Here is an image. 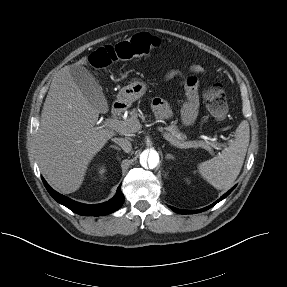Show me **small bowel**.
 <instances>
[{"label": "small bowel", "mask_w": 287, "mask_h": 287, "mask_svg": "<svg viewBox=\"0 0 287 287\" xmlns=\"http://www.w3.org/2000/svg\"><path fill=\"white\" fill-rule=\"evenodd\" d=\"M191 73L192 75L185 78L183 81V85L187 92V101L183 107L181 119L185 126L192 125L197 117L199 98L196 75L203 73V68L199 65H195L191 68ZM178 76H181V72L172 69L166 73L165 80H170ZM152 108L156 116L160 119H167L171 117V111L165 100L162 98H155L152 102Z\"/></svg>", "instance_id": "small-bowel-1"}]
</instances>
